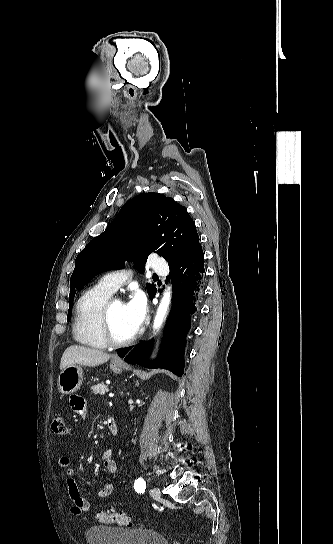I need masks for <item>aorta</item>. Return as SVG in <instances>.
I'll list each match as a JSON object with an SVG mask.
<instances>
[{
	"label": "aorta",
	"mask_w": 333,
	"mask_h": 544,
	"mask_svg": "<svg viewBox=\"0 0 333 544\" xmlns=\"http://www.w3.org/2000/svg\"><path fill=\"white\" fill-rule=\"evenodd\" d=\"M170 300H171V291H170V288H168L164 292L163 298L157 309V313H156L154 324H153L154 329H158L161 326L164 320V317L166 316V313L170 304Z\"/></svg>",
	"instance_id": "762f6f07"
}]
</instances>
